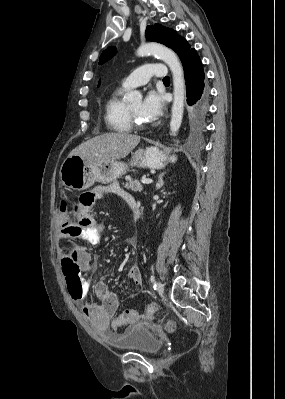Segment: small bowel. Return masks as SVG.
<instances>
[{
  "instance_id": "obj_1",
  "label": "small bowel",
  "mask_w": 285,
  "mask_h": 399,
  "mask_svg": "<svg viewBox=\"0 0 285 399\" xmlns=\"http://www.w3.org/2000/svg\"><path fill=\"white\" fill-rule=\"evenodd\" d=\"M92 193L97 195V198H102L103 194L99 190H94ZM113 194L120 196L128 205L130 210H140L139 203L130 193L116 188L112 191ZM90 207H83L82 212L87 219L85 227L72 224L69 220L70 217H63L60 210L58 211L59 219L61 220V229L59 232V239L61 241L80 240L91 244H97L100 241V236L104 232V225L92 218L90 214ZM67 219V220H65ZM72 254L69 249H61V260L70 257ZM76 259L78 260L82 270L87 272L91 267V254L83 248H78L76 251ZM128 278L135 286H141L143 277L137 265L131 266L128 271ZM81 297L74 298L71 293L70 296L73 300L80 303V308L85 319L92 324V326L99 330L105 331L111 327V321L115 317L119 306V300L116 293L110 291L109 287L103 282H96L93 285V291L99 303H86L84 302L85 294L90 290V281L86 277L81 284Z\"/></svg>"
}]
</instances>
